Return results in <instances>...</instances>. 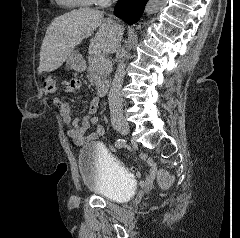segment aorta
I'll list each match as a JSON object with an SVG mask.
<instances>
[{"label": "aorta", "mask_w": 240, "mask_h": 238, "mask_svg": "<svg viewBox=\"0 0 240 238\" xmlns=\"http://www.w3.org/2000/svg\"><path fill=\"white\" fill-rule=\"evenodd\" d=\"M167 0H149L145 12L147 14H154L166 5Z\"/></svg>", "instance_id": "1"}]
</instances>
